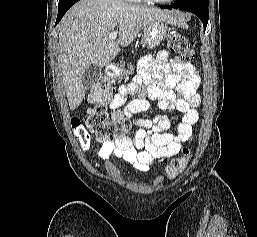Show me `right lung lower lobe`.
<instances>
[{
	"instance_id": "1",
	"label": "right lung lower lobe",
	"mask_w": 257,
	"mask_h": 237,
	"mask_svg": "<svg viewBox=\"0 0 257 237\" xmlns=\"http://www.w3.org/2000/svg\"><path fill=\"white\" fill-rule=\"evenodd\" d=\"M77 1L79 0H74L71 3L64 5L62 7L58 8V15H57V19H56V24H58L60 22V20L62 19V17L64 16V14L66 13V11L73 5L75 4Z\"/></svg>"
}]
</instances>
